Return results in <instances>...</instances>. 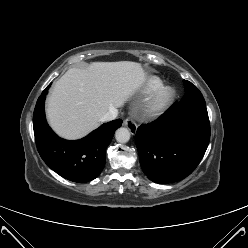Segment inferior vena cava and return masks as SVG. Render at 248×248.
Listing matches in <instances>:
<instances>
[{"instance_id":"1","label":"inferior vena cava","mask_w":248,"mask_h":248,"mask_svg":"<svg viewBox=\"0 0 248 248\" xmlns=\"http://www.w3.org/2000/svg\"><path fill=\"white\" fill-rule=\"evenodd\" d=\"M117 115H118V110L116 108H112L100 118V121L102 122L112 121L117 117Z\"/></svg>"}]
</instances>
